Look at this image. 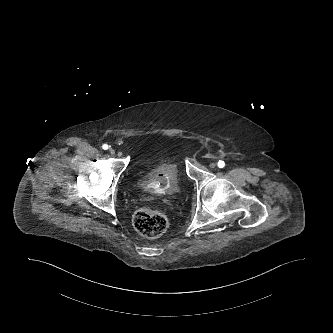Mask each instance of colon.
<instances>
[{"label":"colon","mask_w":333,"mask_h":333,"mask_svg":"<svg viewBox=\"0 0 333 333\" xmlns=\"http://www.w3.org/2000/svg\"><path fill=\"white\" fill-rule=\"evenodd\" d=\"M133 225L143 236L155 238L166 231L168 219L161 211L140 209L133 216Z\"/></svg>","instance_id":"5ec220e1"}]
</instances>
